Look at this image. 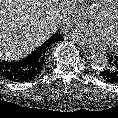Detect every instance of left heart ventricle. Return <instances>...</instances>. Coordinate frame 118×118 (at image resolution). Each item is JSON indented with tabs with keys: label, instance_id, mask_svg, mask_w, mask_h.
<instances>
[{
	"label": "left heart ventricle",
	"instance_id": "1",
	"mask_svg": "<svg viewBox=\"0 0 118 118\" xmlns=\"http://www.w3.org/2000/svg\"><path fill=\"white\" fill-rule=\"evenodd\" d=\"M92 20L106 32L110 43L118 44V3L109 14L98 13Z\"/></svg>",
	"mask_w": 118,
	"mask_h": 118
}]
</instances>
